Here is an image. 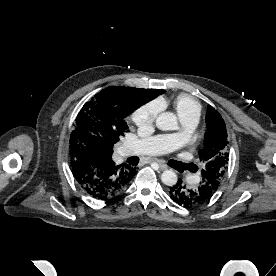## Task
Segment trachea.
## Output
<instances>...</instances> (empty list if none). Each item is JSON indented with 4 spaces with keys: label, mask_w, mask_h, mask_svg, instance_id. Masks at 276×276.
<instances>
[{
    "label": "trachea",
    "mask_w": 276,
    "mask_h": 276,
    "mask_svg": "<svg viewBox=\"0 0 276 276\" xmlns=\"http://www.w3.org/2000/svg\"><path fill=\"white\" fill-rule=\"evenodd\" d=\"M138 161H139V158H136V160H135V164H137V163H138ZM174 163H176V164H178V165H181L183 169H187V168H188V165H186V164L179 163V162H177V161H176V162H174Z\"/></svg>",
    "instance_id": "trachea-1"
}]
</instances>
